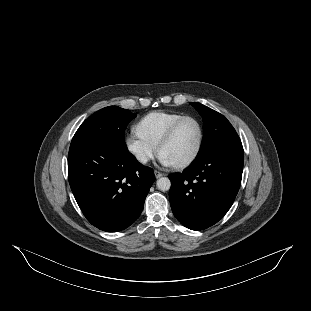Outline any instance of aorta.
<instances>
[{"label": "aorta", "instance_id": "1", "mask_svg": "<svg viewBox=\"0 0 311 311\" xmlns=\"http://www.w3.org/2000/svg\"><path fill=\"white\" fill-rule=\"evenodd\" d=\"M156 186L161 191H168L171 188V181L168 177H161L157 180Z\"/></svg>", "mask_w": 311, "mask_h": 311}]
</instances>
